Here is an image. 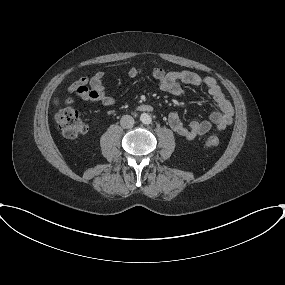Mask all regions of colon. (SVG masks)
Segmentation results:
<instances>
[{
	"label": "colon",
	"instance_id": "colon-1",
	"mask_svg": "<svg viewBox=\"0 0 285 285\" xmlns=\"http://www.w3.org/2000/svg\"><path fill=\"white\" fill-rule=\"evenodd\" d=\"M56 105L58 110L55 121L65 139L72 142L87 131V125L77 110L60 101H56ZM220 144L221 139L216 134H211L206 139V145L210 148L218 147Z\"/></svg>",
	"mask_w": 285,
	"mask_h": 285
}]
</instances>
